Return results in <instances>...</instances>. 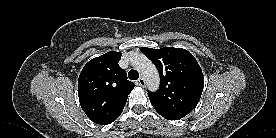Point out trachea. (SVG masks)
<instances>
[{"label": "trachea", "mask_w": 276, "mask_h": 138, "mask_svg": "<svg viewBox=\"0 0 276 138\" xmlns=\"http://www.w3.org/2000/svg\"><path fill=\"white\" fill-rule=\"evenodd\" d=\"M128 77L130 80H137L139 78V73L136 70H130Z\"/></svg>", "instance_id": "1"}]
</instances>
